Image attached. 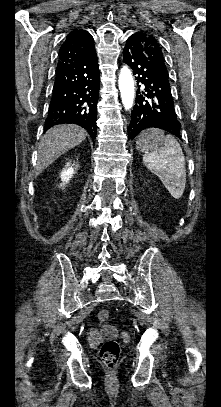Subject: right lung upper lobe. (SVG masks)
Here are the masks:
<instances>
[{"label": "right lung upper lobe", "mask_w": 221, "mask_h": 407, "mask_svg": "<svg viewBox=\"0 0 221 407\" xmlns=\"http://www.w3.org/2000/svg\"><path fill=\"white\" fill-rule=\"evenodd\" d=\"M93 45V37L86 30L71 31L60 47L56 70L85 57Z\"/></svg>", "instance_id": "obj_1"}]
</instances>
